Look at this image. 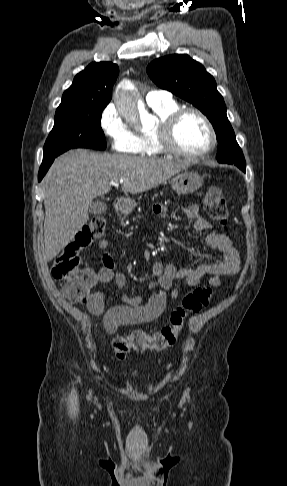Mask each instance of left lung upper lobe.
Instances as JSON below:
<instances>
[{
	"label": "left lung upper lobe",
	"mask_w": 287,
	"mask_h": 486,
	"mask_svg": "<svg viewBox=\"0 0 287 486\" xmlns=\"http://www.w3.org/2000/svg\"><path fill=\"white\" fill-rule=\"evenodd\" d=\"M146 70L156 85L192 103L207 116L220 143L218 162L245 165L223 97L213 76L199 62L185 54H174L154 60Z\"/></svg>",
	"instance_id": "5c2ea615"
}]
</instances>
